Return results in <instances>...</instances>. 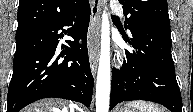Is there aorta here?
I'll return each instance as SVG.
<instances>
[{
	"instance_id": "aorta-1",
	"label": "aorta",
	"mask_w": 193,
	"mask_h": 112,
	"mask_svg": "<svg viewBox=\"0 0 193 112\" xmlns=\"http://www.w3.org/2000/svg\"><path fill=\"white\" fill-rule=\"evenodd\" d=\"M111 86L110 24L109 14L104 10L101 29V52L96 82V112H108Z\"/></svg>"
}]
</instances>
